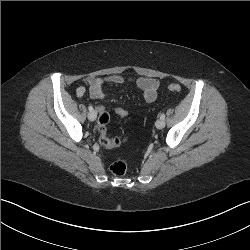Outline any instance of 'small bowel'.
<instances>
[{
    "mask_svg": "<svg viewBox=\"0 0 250 250\" xmlns=\"http://www.w3.org/2000/svg\"><path fill=\"white\" fill-rule=\"evenodd\" d=\"M126 81L135 83V85L142 91L146 103H152L155 101L160 89V83L158 80L152 78L125 79L119 75H112L106 78L94 76L88 77L86 79V86H79L76 89V94L77 96H83L87 90H89V94L93 99H104L107 96V87L123 84ZM98 111L102 112L104 111V108L100 106L98 107Z\"/></svg>",
    "mask_w": 250,
    "mask_h": 250,
    "instance_id": "small-bowel-1",
    "label": "small bowel"
}]
</instances>
